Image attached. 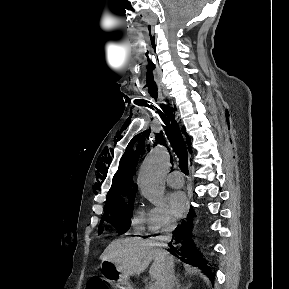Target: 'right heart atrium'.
I'll return each mask as SVG.
<instances>
[{"label":"right heart atrium","instance_id":"obj_1","mask_svg":"<svg viewBox=\"0 0 289 289\" xmlns=\"http://www.w3.org/2000/svg\"><path fill=\"white\" fill-rule=\"evenodd\" d=\"M176 222L164 205L153 206L148 210L147 228L151 233H160L174 228Z\"/></svg>","mask_w":289,"mask_h":289}]
</instances>
